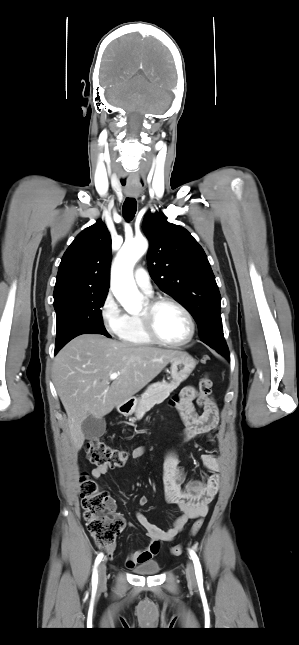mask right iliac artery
I'll return each instance as SVG.
<instances>
[{
  "label": "right iliac artery",
  "instance_id": "1",
  "mask_svg": "<svg viewBox=\"0 0 299 645\" xmlns=\"http://www.w3.org/2000/svg\"><path fill=\"white\" fill-rule=\"evenodd\" d=\"M102 558H103V554H102V553H100V554L96 557V560H95V565H94V570H93V575H92V586H93V587H96V586H97V583H98L97 566H98V565H99V563L101 562Z\"/></svg>",
  "mask_w": 299,
  "mask_h": 645
}]
</instances>
